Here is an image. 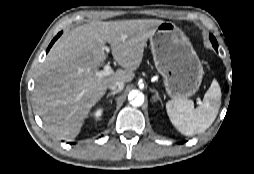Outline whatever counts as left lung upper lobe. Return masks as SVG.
<instances>
[{
    "label": "left lung upper lobe",
    "mask_w": 254,
    "mask_h": 174,
    "mask_svg": "<svg viewBox=\"0 0 254 174\" xmlns=\"http://www.w3.org/2000/svg\"><path fill=\"white\" fill-rule=\"evenodd\" d=\"M210 40L212 42L213 47H215V46L218 47V43L213 35H210Z\"/></svg>",
    "instance_id": "1"
}]
</instances>
